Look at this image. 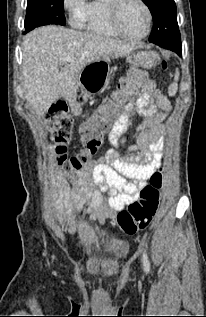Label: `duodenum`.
<instances>
[{
	"instance_id": "410a0bca",
	"label": "duodenum",
	"mask_w": 206,
	"mask_h": 317,
	"mask_svg": "<svg viewBox=\"0 0 206 317\" xmlns=\"http://www.w3.org/2000/svg\"><path fill=\"white\" fill-rule=\"evenodd\" d=\"M70 105L72 106V113L74 115H77L79 113V111L81 110L82 102H81V100H72L70 102Z\"/></svg>"
}]
</instances>
